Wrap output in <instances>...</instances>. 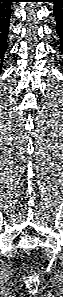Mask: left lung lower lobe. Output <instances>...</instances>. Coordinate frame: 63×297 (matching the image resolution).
<instances>
[{
  "instance_id": "1",
  "label": "left lung lower lobe",
  "mask_w": 63,
  "mask_h": 297,
  "mask_svg": "<svg viewBox=\"0 0 63 297\" xmlns=\"http://www.w3.org/2000/svg\"><path fill=\"white\" fill-rule=\"evenodd\" d=\"M54 2V16L56 18V31L60 36L61 49L63 53V0H50Z\"/></svg>"
}]
</instances>
